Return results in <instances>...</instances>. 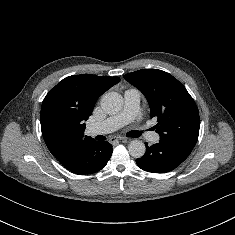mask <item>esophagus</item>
I'll list each match as a JSON object with an SVG mask.
<instances>
[{
  "instance_id": "esophagus-1",
  "label": "esophagus",
  "mask_w": 235,
  "mask_h": 235,
  "mask_svg": "<svg viewBox=\"0 0 235 235\" xmlns=\"http://www.w3.org/2000/svg\"><path fill=\"white\" fill-rule=\"evenodd\" d=\"M120 141H127V138L117 136V137H111L110 140H109V142L112 143V144H117Z\"/></svg>"
}]
</instances>
